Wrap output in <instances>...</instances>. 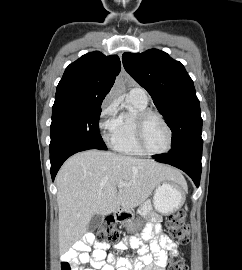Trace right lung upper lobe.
Instances as JSON below:
<instances>
[{
  "instance_id": "cb5924a9",
  "label": "right lung upper lobe",
  "mask_w": 242,
  "mask_h": 270,
  "mask_svg": "<svg viewBox=\"0 0 242 270\" xmlns=\"http://www.w3.org/2000/svg\"><path fill=\"white\" fill-rule=\"evenodd\" d=\"M121 70L119 57L91 52L71 63L60 80L53 107L101 104Z\"/></svg>"
}]
</instances>
